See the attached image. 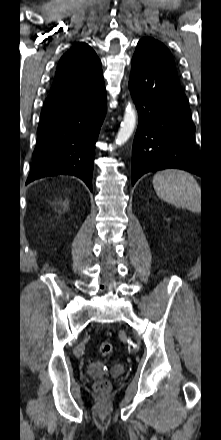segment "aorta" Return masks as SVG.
<instances>
[{"instance_id":"aorta-1","label":"aorta","mask_w":221,"mask_h":440,"mask_svg":"<svg viewBox=\"0 0 221 440\" xmlns=\"http://www.w3.org/2000/svg\"><path fill=\"white\" fill-rule=\"evenodd\" d=\"M136 125V112L129 102L126 109L123 121L121 123L120 129L118 131L117 137L115 139L116 145H123L128 141V139L133 134Z\"/></svg>"}]
</instances>
